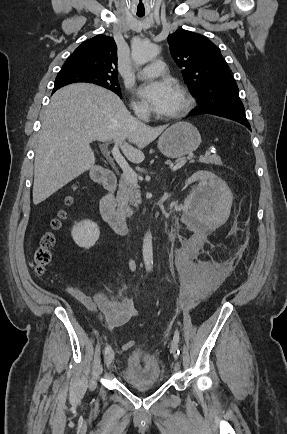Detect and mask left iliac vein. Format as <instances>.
Instances as JSON below:
<instances>
[{
	"mask_svg": "<svg viewBox=\"0 0 287 434\" xmlns=\"http://www.w3.org/2000/svg\"><path fill=\"white\" fill-rule=\"evenodd\" d=\"M177 351H178V344L175 341H173L171 343V352L175 358H177ZM179 367H180L179 363H176L174 368L175 370H179Z\"/></svg>",
	"mask_w": 287,
	"mask_h": 434,
	"instance_id": "obj_1",
	"label": "left iliac vein"
}]
</instances>
